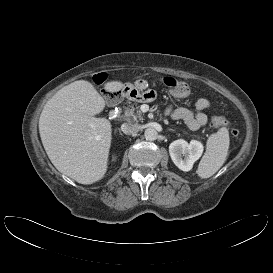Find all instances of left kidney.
I'll return each instance as SVG.
<instances>
[{"mask_svg":"<svg viewBox=\"0 0 273 273\" xmlns=\"http://www.w3.org/2000/svg\"><path fill=\"white\" fill-rule=\"evenodd\" d=\"M169 153L173 163L182 171H190L193 164L201 157L203 145L197 140L190 143L183 139L173 141L169 146Z\"/></svg>","mask_w":273,"mask_h":273,"instance_id":"5707ae66","label":"left kidney"}]
</instances>
